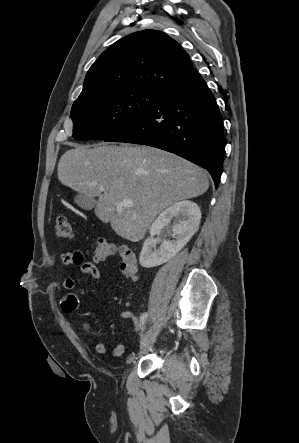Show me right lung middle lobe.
Masks as SVG:
<instances>
[{"instance_id":"obj_1","label":"right lung middle lobe","mask_w":299,"mask_h":443,"mask_svg":"<svg viewBox=\"0 0 299 443\" xmlns=\"http://www.w3.org/2000/svg\"><path fill=\"white\" fill-rule=\"evenodd\" d=\"M161 92L148 88L116 89L75 101L71 109L73 137L82 141L106 139L144 115Z\"/></svg>"}]
</instances>
